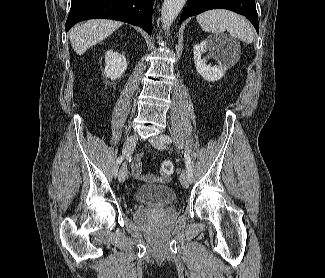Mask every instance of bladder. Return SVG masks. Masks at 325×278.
<instances>
[{
  "label": "bladder",
  "instance_id": "bladder-1",
  "mask_svg": "<svg viewBox=\"0 0 325 278\" xmlns=\"http://www.w3.org/2000/svg\"><path fill=\"white\" fill-rule=\"evenodd\" d=\"M135 199L141 205L165 207L173 205L177 197L170 186L149 183L138 188Z\"/></svg>",
  "mask_w": 325,
  "mask_h": 278
}]
</instances>
